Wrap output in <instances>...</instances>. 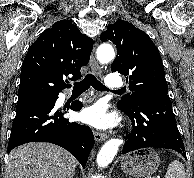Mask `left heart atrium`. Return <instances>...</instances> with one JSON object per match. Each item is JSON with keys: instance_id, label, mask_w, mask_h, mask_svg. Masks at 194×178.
<instances>
[{"instance_id": "obj_1", "label": "left heart atrium", "mask_w": 194, "mask_h": 178, "mask_svg": "<svg viewBox=\"0 0 194 178\" xmlns=\"http://www.w3.org/2000/svg\"><path fill=\"white\" fill-rule=\"evenodd\" d=\"M81 119L98 129L110 128L117 123V117L114 114L108 113L106 107L101 103L84 109L81 113Z\"/></svg>"}]
</instances>
